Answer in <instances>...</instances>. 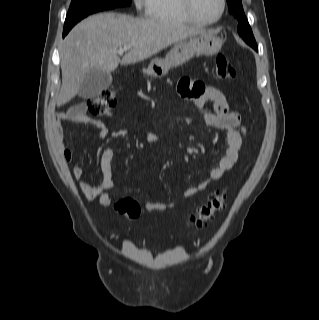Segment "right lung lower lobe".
I'll use <instances>...</instances> for the list:
<instances>
[{"label":"right lung lower lobe","mask_w":319,"mask_h":320,"mask_svg":"<svg viewBox=\"0 0 319 320\" xmlns=\"http://www.w3.org/2000/svg\"><path fill=\"white\" fill-rule=\"evenodd\" d=\"M70 29H71V28H69V29H64V30H63V37H65V35L70 31Z\"/></svg>","instance_id":"98d812e1"}]
</instances>
